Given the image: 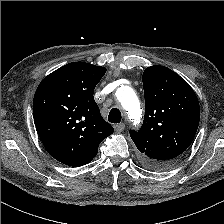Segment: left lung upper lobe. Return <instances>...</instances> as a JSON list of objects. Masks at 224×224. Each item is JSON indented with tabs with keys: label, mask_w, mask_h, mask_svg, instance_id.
Returning a JSON list of instances; mask_svg holds the SVG:
<instances>
[{
	"label": "left lung upper lobe",
	"mask_w": 224,
	"mask_h": 224,
	"mask_svg": "<svg viewBox=\"0 0 224 224\" xmlns=\"http://www.w3.org/2000/svg\"><path fill=\"white\" fill-rule=\"evenodd\" d=\"M145 116L130 136L145 165L164 169L175 164L192 143L200 120L196 94L177 73L151 66L143 73Z\"/></svg>",
	"instance_id": "1"
}]
</instances>
